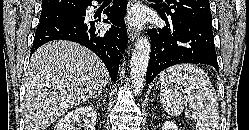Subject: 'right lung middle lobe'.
Listing matches in <instances>:
<instances>
[{"instance_id": "obj_1", "label": "right lung middle lobe", "mask_w": 249, "mask_h": 130, "mask_svg": "<svg viewBox=\"0 0 249 130\" xmlns=\"http://www.w3.org/2000/svg\"><path fill=\"white\" fill-rule=\"evenodd\" d=\"M87 4L81 3L79 6L67 9V10H55V11H42L40 16V23H47L51 21H57L67 18H73L81 15L86 8Z\"/></svg>"}]
</instances>
